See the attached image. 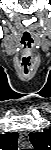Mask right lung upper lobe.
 <instances>
[{
  "mask_svg": "<svg viewBox=\"0 0 51 150\" xmlns=\"http://www.w3.org/2000/svg\"><path fill=\"white\" fill-rule=\"evenodd\" d=\"M18 134L6 133L0 135V149L1 150H17Z\"/></svg>",
  "mask_w": 51,
  "mask_h": 150,
  "instance_id": "cb5924a9",
  "label": "right lung upper lobe"
}]
</instances>
